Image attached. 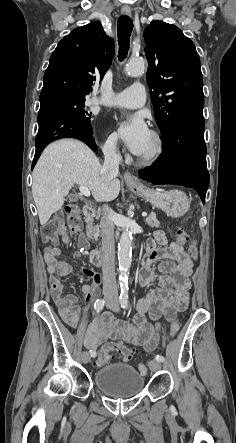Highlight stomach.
I'll use <instances>...</instances> for the list:
<instances>
[{
  "mask_svg": "<svg viewBox=\"0 0 236 443\" xmlns=\"http://www.w3.org/2000/svg\"><path fill=\"white\" fill-rule=\"evenodd\" d=\"M130 189L172 218L183 216L190 207L186 194L180 190H154L148 187Z\"/></svg>",
  "mask_w": 236,
  "mask_h": 443,
  "instance_id": "stomach-1",
  "label": "stomach"
}]
</instances>
